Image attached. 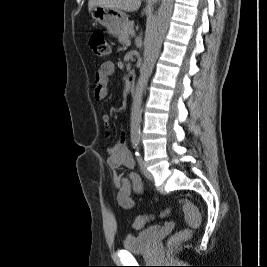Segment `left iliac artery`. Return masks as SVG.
Masks as SVG:
<instances>
[{"instance_id": "left-iliac-artery-1", "label": "left iliac artery", "mask_w": 267, "mask_h": 267, "mask_svg": "<svg viewBox=\"0 0 267 267\" xmlns=\"http://www.w3.org/2000/svg\"><path fill=\"white\" fill-rule=\"evenodd\" d=\"M135 155H136V158H137L138 163L140 164L141 158H140V153H139L138 147L136 149Z\"/></svg>"}]
</instances>
